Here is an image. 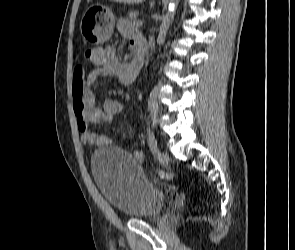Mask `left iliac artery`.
Masks as SVG:
<instances>
[{
  "instance_id": "obj_1",
  "label": "left iliac artery",
  "mask_w": 295,
  "mask_h": 250,
  "mask_svg": "<svg viewBox=\"0 0 295 250\" xmlns=\"http://www.w3.org/2000/svg\"><path fill=\"white\" fill-rule=\"evenodd\" d=\"M147 141H148V145L150 147V150L152 151L153 154L156 155L157 141H156L155 136H154L153 132L151 131L150 127L147 128Z\"/></svg>"
}]
</instances>
